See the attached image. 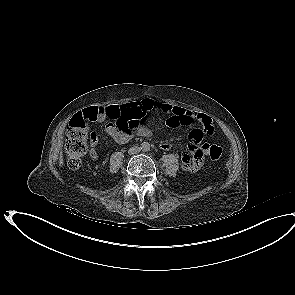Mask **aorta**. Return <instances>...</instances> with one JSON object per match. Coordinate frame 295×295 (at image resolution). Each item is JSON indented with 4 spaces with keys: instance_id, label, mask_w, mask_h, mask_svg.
<instances>
[{
    "instance_id": "aorta-1",
    "label": "aorta",
    "mask_w": 295,
    "mask_h": 295,
    "mask_svg": "<svg viewBox=\"0 0 295 295\" xmlns=\"http://www.w3.org/2000/svg\"><path fill=\"white\" fill-rule=\"evenodd\" d=\"M141 150H143V151H149L150 150V144L148 142H143L141 144Z\"/></svg>"
}]
</instances>
